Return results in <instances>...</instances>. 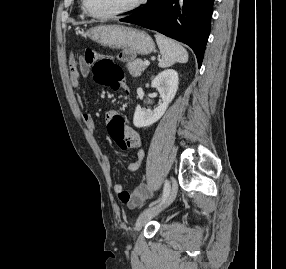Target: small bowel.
<instances>
[{
    "instance_id": "c3829d8e",
    "label": "small bowel",
    "mask_w": 286,
    "mask_h": 269,
    "mask_svg": "<svg viewBox=\"0 0 286 269\" xmlns=\"http://www.w3.org/2000/svg\"><path fill=\"white\" fill-rule=\"evenodd\" d=\"M97 55V53H96ZM98 58V55H97ZM93 61H89L86 57H79L77 60L71 56L69 58V83L72 87H78L80 85L81 75L87 73L89 67ZM117 116H121L119 113L110 111L108 112L106 119L110 125V121H114ZM123 118V117H122ZM82 119L84 125L88 130H95V122L90 113H83ZM122 121H125L124 118ZM109 129V126H108ZM126 138L129 142V148L137 149V159L134 162L129 163L126 169L130 172L139 170L141 162L145 156V152L141 147V139L138 133L127 126H123ZM110 133V132H109ZM106 163L111 164V159L107 158ZM114 193L119 197L120 201L125 204L129 209H136L143 203H145L151 197V191L147 184H140L133 191L124 190L122 184L115 183L113 186Z\"/></svg>"
}]
</instances>
